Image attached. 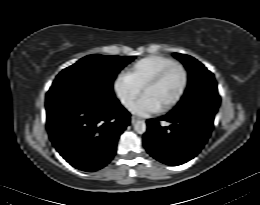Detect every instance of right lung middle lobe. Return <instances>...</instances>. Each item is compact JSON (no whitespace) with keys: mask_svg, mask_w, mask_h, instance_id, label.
Instances as JSON below:
<instances>
[{"mask_svg":"<svg viewBox=\"0 0 260 205\" xmlns=\"http://www.w3.org/2000/svg\"><path fill=\"white\" fill-rule=\"evenodd\" d=\"M133 59L132 56H86L60 72L52 87H74L106 100H114L113 81L119 71Z\"/></svg>","mask_w":260,"mask_h":205,"instance_id":"1","label":"right lung middle lobe"}]
</instances>
